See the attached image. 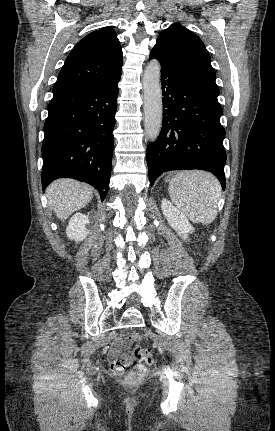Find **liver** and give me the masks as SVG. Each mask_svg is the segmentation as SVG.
I'll list each match as a JSON object with an SVG mask.
<instances>
[{
    "mask_svg": "<svg viewBox=\"0 0 275 431\" xmlns=\"http://www.w3.org/2000/svg\"><path fill=\"white\" fill-rule=\"evenodd\" d=\"M46 196L56 216L66 220L73 212L86 206L92 200L89 186L73 179H59L51 183Z\"/></svg>",
    "mask_w": 275,
    "mask_h": 431,
    "instance_id": "liver-1",
    "label": "liver"
}]
</instances>
